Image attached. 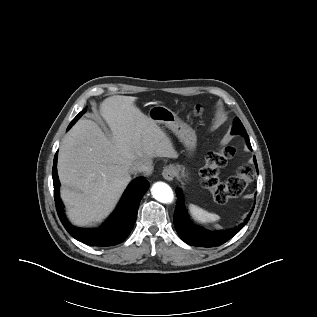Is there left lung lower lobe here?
<instances>
[{"mask_svg": "<svg viewBox=\"0 0 317 317\" xmlns=\"http://www.w3.org/2000/svg\"><path fill=\"white\" fill-rule=\"evenodd\" d=\"M247 146L251 148L250 141H246ZM254 163L257 167L256 157L254 156ZM258 171V168H257ZM177 205L174 213V226L180 236V238L189 245L199 247H215L220 246L235 236L249 221L251 214L254 210L250 211L247 218L238 227L221 230V231H209L202 227L194 225L187 214L186 207L183 201L182 191L177 189Z\"/></svg>", "mask_w": 317, "mask_h": 317, "instance_id": "1", "label": "left lung lower lobe"}]
</instances>
